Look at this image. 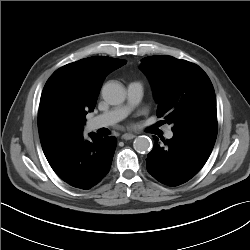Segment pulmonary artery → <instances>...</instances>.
<instances>
[{
	"instance_id": "1",
	"label": "pulmonary artery",
	"mask_w": 250,
	"mask_h": 250,
	"mask_svg": "<svg viewBox=\"0 0 250 250\" xmlns=\"http://www.w3.org/2000/svg\"><path fill=\"white\" fill-rule=\"evenodd\" d=\"M143 97V85L140 82H131L127 86V102L126 104L111 109L88 121V126L91 130H96L103 127H109L121 121L127 116L130 110L137 105ZM166 138L173 137V132L168 129L165 133Z\"/></svg>"
}]
</instances>
